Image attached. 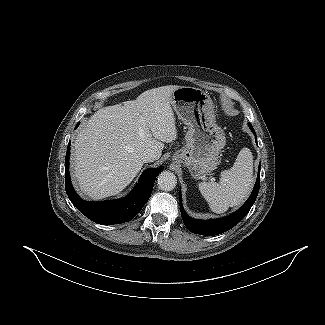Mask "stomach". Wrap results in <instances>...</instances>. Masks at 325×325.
I'll list each match as a JSON object with an SVG mask.
<instances>
[{"instance_id":"0dacf381","label":"stomach","mask_w":325,"mask_h":325,"mask_svg":"<svg viewBox=\"0 0 325 325\" xmlns=\"http://www.w3.org/2000/svg\"><path fill=\"white\" fill-rule=\"evenodd\" d=\"M171 105L188 127L186 145L175 152L173 160L186 166L193 177L213 171L226 138L216 124L211 97L199 88L180 86L172 93Z\"/></svg>"}]
</instances>
